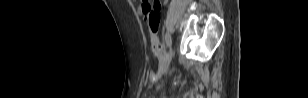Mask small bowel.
<instances>
[{"label": "small bowel", "mask_w": 308, "mask_h": 98, "mask_svg": "<svg viewBox=\"0 0 308 98\" xmlns=\"http://www.w3.org/2000/svg\"><path fill=\"white\" fill-rule=\"evenodd\" d=\"M145 3H146V1H144V2H143V4H142V6H141L140 11H142V10H143V6L145 5Z\"/></svg>", "instance_id": "c3829d8e"}]
</instances>
